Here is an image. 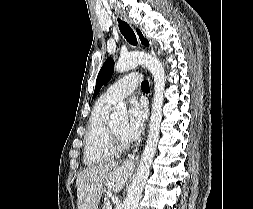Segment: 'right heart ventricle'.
I'll use <instances>...</instances> for the list:
<instances>
[{
	"label": "right heart ventricle",
	"mask_w": 253,
	"mask_h": 209,
	"mask_svg": "<svg viewBox=\"0 0 253 209\" xmlns=\"http://www.w3.org/2000/svg\"><path fill=\"white\" fill-rule=\"evenodd\" d=\"M111 107L101 99L94 105L84 137V163L88 166L107 162L117 154L111 146L106 124Z\"/></svg>",
	"instance_id": "1"
}]
</instances>
